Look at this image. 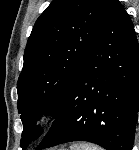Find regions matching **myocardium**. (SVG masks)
<instances>
[{
  "label": "myocardium",
  "mask_w": 139,
  "mask_h": 150,
  "mask_svg": "<svg viewBox=\"0 0 139 150\" xmlns=\"http://www.w3.org/2000/svg\"><path fill=\"white\" fill-rule=\"evenodd\" d=\"M46 120H47V117H45V116L41 117L40 120H39V123L43 124Z\"/></svg>",
  "instance_id": "obj_1"
}]
</instances>
